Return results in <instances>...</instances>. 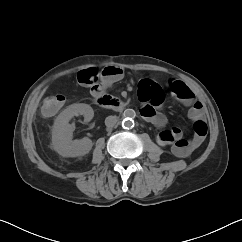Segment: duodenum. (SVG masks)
<instances>
[{"mask_svg":"<svg viewBox=\"0 0 242 242\" xmlns=\"http://www.w3.org/2000/svg\"><path fill=\"white\" fill-rule=\"evenodd\" d=\"M93 100L95 104L101 108L112 110H122L125 108V103L123 101L103 93L94 94Z\"/></svg>","mask_w":242,"mask_h":242,"instance_id":"duodenum-1","label":"duodenum"}]
</instances>
